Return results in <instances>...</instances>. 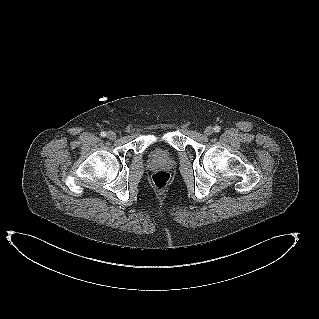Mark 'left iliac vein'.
<instances>
[{"label": "left iliac vein", "instance_id": "obj_1", "mask_svg": "<svg viewBox=\"0 0 319 319\" xmlns=\"http://www.w3.org/2000/svg\"><path fill=\"white\" fill-rule=\"evenodd\" d=\"M213 128L211 127V126H208L206 129H205V131H204V133L206 134V135H211L212 133H213Z\"/></svg>", "mask_w": 319, "mask_h": 319}]
</instances>
